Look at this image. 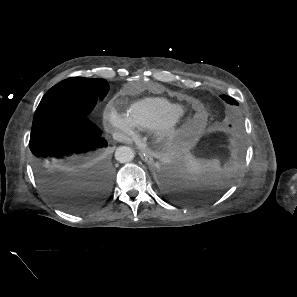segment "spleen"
<instances>
[{
    "label": "spleen",
    "mask_w": 297,
    "mask_h": 297,
    "mask_svg": "<svg viewBox=\"0 0 297 297\" xmlns=\"http://www.w3.org/2000/svg\"><path fill=\"white\" fill-rule=\"evenodd\" d=\"M185 167L189 174L201 178L208 173H217L220 171V161L214 160H201L187 154L184 158Z\"/></svg>",
    "instance_id": "spleen-1"
}]
</instances>
